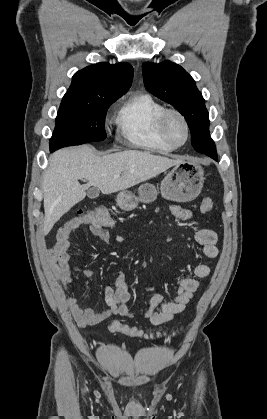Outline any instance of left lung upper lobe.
Wrapping results in <instances>:
<instances>
[{
    "mask_svg": "<svg viewBox=\"0 0 267 419\" xmlns=\"http://www.w3.org/2000/svg\"><path fill=\"white\" fill-rule=\"evenodd\" d=\"M144 85L148 91L171 104L186 119L197 152L217 157L209 136V114L205 100L193 78L178 64L164 61L142 65ZM216 159V158H214Z\"/></svg>",
    "mask_w": 267,
    "mask_h": 419,
    "instance_id": "1",
    "label": "left lung upper lobe"
}]
</instances>
